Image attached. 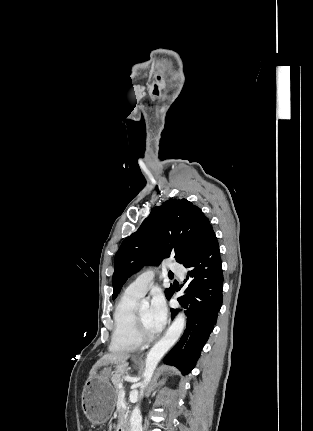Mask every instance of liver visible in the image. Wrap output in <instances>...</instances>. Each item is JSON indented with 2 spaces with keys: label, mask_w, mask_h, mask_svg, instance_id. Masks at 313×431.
<instances>
[{
  "label": "liver",
  "mask_w": 313,
  "mask_h": 431,
  "mask_svg": "<svg viewBox=\"0 0 313 431\" xmlns=\"http://www.w3.org/2000/svg\"><path fill=\"white\" fill-rule=\"evenodd\" d=\"M129 357L130 355L125 352H112L104 355L96 362V364L90 370L88 380L92 379L95 376L96 370L98 368H100L101 366H106L108 364L116 365L118 373L123 372V368L125 367L126 361L129 359Z\"/></svg>",
  "instance_id": "obj_1"
}]
</instances>
